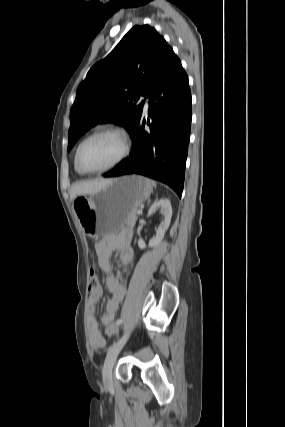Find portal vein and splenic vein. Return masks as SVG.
Segmentation results:
<instances>
[{"instance_id": "obj_1", "label": "portal vein and splenic vein", "mask_w": 285, "mask_h": 427, "mask_svg": "<svg viewBox=\"0 0 285 427\" xmlns=\"http://www.w3.org/2000/svg\"><path fill=\"white\" fill-rule=\"evenodd\" d=\"M137 213H138V214H142V210H138V211H137Z\"/></svg>"}]
</instances>
